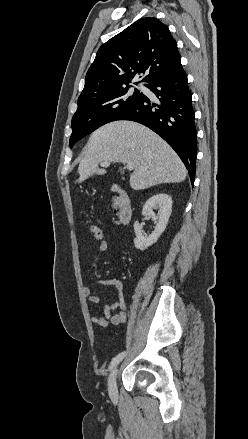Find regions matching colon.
<instances>
[{"label": "colon", "mask_w": 248, "mask_h": 439, "mask_svg": "<svg viewBox=\"0 0 248 439\" xmlns=\"http://www.w3.org/2000/svg\"><path fill=\"white\" fill-rule=\"evenodd\" d=\"M90 231L95 240L101 241L103 239V229L100 226L92 225Z\"/></svg>", "instance_id": "colon-1"}]
</instances>
